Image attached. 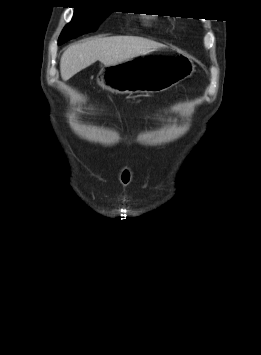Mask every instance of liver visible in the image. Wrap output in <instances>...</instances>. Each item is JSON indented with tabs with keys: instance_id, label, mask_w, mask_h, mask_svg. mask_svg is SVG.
<instances>
[{
	"instance_id": "1",
	"label": "liver",
	"mask_w": 261,
	"mask_h": 355,
	"mask_svg": "<svg viewBox=\"0 0 261 355\" xmlns=\"http://www.w3.org/2000/svg\"><path fill=\"white\" fill-rule=\"evenodd\" d=\"M160 47H163L160 43L135 36L89 39L69 46L63 53L61 77L67 81L97 60L111 66Z\"/></svg>"
}]
</instances>
